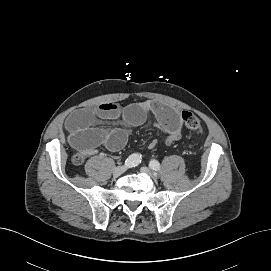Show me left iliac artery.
<instances>
[{"instance_id": "44dca946", "label": "left iliac artery", "mask_w": 271, "mask_h": 271, "mask_svg": "<svg viewBox=\"0 0 271 271\" xmlns=\"http://www.w3.org/2000/svg\"><path fill=\"white\" fill-rule=\"evenodd\" d=\"M149 166H150V168H151L152 170H154V171H159V170H160V164H159V162L156 161V160L150 161Z\"/></svg>"}]
</instances>
